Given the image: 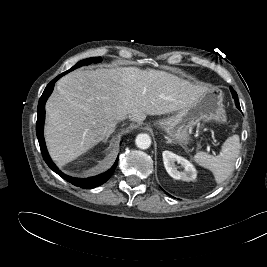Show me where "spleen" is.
I'll return each instance as SVG.
<instances>
[{"mask_svg": "<svg viewBox=\"0 0 267 267\" xmlns=\"http://www.w3.org/2000/svg\"><path fill=\"white\" fill-rule=\"evenodd\" d=\"M240 148L239 136L233 135L223 143L219 155L213 156L206 152H198L194 155V161L210 170L217 183H222L232 174Z\"/></svg>", "mask_w": 267, "mask_h": 267, "instance_id": "1", "label": "spleen"}]
</instances>
